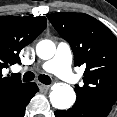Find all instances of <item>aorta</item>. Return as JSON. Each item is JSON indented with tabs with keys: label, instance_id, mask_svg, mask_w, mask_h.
<instances>
[{
	"label": "aorta",
	"instance_id": "aorta-1",
	"mask_svg": "<svg viewBox=\"0 0 117 117\" xmlns=\"http://www.w3.org/2000/svg\"><path fill=\"white\" fill-rule=\"evenodd\" d=\"M56 51L55 44L51 40H42L36 46V53L43 60L51 59ZM52 106L59 110L72 107L76 100L73 88L65 83H55L49 95Z\"/></svg>",
	"mask_w": 117,
	"mask_h": 117
}]
</instances>
